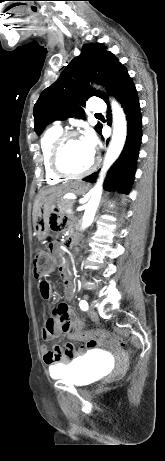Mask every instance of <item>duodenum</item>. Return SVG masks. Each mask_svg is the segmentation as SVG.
I'll return each mask as SVG.
<instances>
[{"mask_svg": "<svg viewBox=\"0 0 165 461\" xmlns=\"http://www.w3.org/2000/svg\"><path fill=\"white\" fill-rule=\"evenodd\" d=\"M66 239H67V244H71V243H73L75 241L76 237H75L74 233L72 231H70L68 233V236H67Z\"/></svg>", "mask_w": 165, "mask_h": 461, "instance_id": "duodenum-1", "label": "duodenum"}]
</instances>
